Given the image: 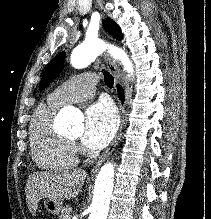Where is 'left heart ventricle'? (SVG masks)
<instances>
[{"mask_svg":"<svg viewBox=\"0 0 211 219\" xmlns=\"http://www.w3.org/2000/svg\"><path fill=\"white\" fill-rule=\"evenodd\" d=\"M78 136H79V134L71 135V138L76 139V138H78Z\"/></svg>","mask_w":211,"mask_h":219,"instance_id":"b2bd125f","label":"left heart ventricle"}]
</instances>
